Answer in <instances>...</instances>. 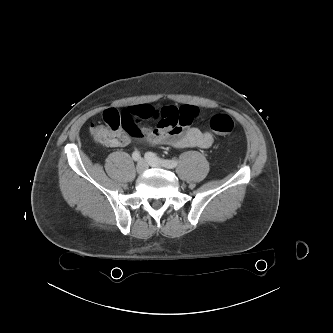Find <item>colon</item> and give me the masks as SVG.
Wrapping results in <instances>:
<instances>
[{
    "label": "colon",
    "instance_id": "obj_1",
    "mask_svg": "<svg viewBox=\"0 0 333 333\" xmlns=\"http://www.w3.org/2000/svg\"><path fill=\"white\" fill-rule=\"evenodd\" d=\"M210 129L218 135H229L234 129L232 118L226 114H216L209 121ZM132 133L135 124L127 113H120L115 109H108L103 113V123L92 124L90 133L95 141L102 145L111 146L119 131Z\"/></svg>",
    "mask_w": 333,
    "mask_h": 333
}]
</instances>
